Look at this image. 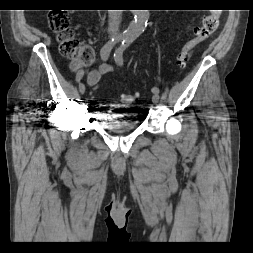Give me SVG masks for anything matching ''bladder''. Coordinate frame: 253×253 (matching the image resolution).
Instances as JSON below:
<instances>
[{
    "instance_id": "obj_1",
    "label": "bladder",
    "mask_w": 253,
    "mask_h": 253,
    "mask_svg": "<svg viewBox=\"0 0 253 253\" xmlns=\"http://www.w3.org/2000/svg\"><path fill=\"white\" fill-rule=\"evenodd\" d=\"M116 111H102L100 114V125L102 128L115 133H125L136 130L139 122L127 112V108L116 107Z\"/></svg>"
}]
</instances>
